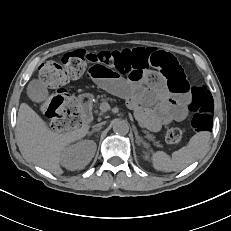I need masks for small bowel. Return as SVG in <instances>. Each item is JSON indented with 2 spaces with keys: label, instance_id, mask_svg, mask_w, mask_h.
Wrapping results in <instances>:
<instances>
[{
  "label": "small bowel",
  "instance_id": "1",
  "mask_svg": "<svg viewBox=\"0 0 231 231\" xmlns=\"http://www.w3.org/2000/svg\"><path fill=\"white\" fill-rule=\"evenodd\" d=\"M87 76L103 90L126 99L129 107L150 129L158 130L186 118L188 97L173 96L158 72L147 71L138 77L124 78L112 68L93 65Z\"/></svg>",
  "mask_w": 231,
  "mask_h": 231
}]
</instances>
